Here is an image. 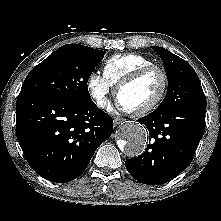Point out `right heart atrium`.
Returning <instances> with one entry per match:
<instances>
[{"mask_svg": "<svg viewBox=\"0 0 221 221\" xmlns=\"http://www.w3.org/2000/svg\"><path fill=\"white\" fill-rule=\"evenodd\" d=\"M87 87L96 105L101 109L107 107L112 85L105 76L95 71L91 72L87 79Z\"/></svg>", "mask_w": 221, "mask_h": 221, "instance_id": "1", "label": "right heart atrium"}]
</instances>
